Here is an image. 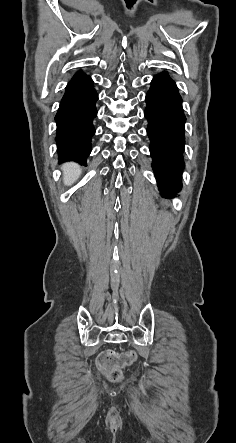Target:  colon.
Segmentation results:
<instances>
[{
    "label": "colon",
    "instance_id": "5ec220e1",
    "mask_svg": "<svg viewBox=\"0 0 236 443\" xmlns=\"http://www.w3.org/2000/svg\"><path fill=\"white\" fill-rule=\"evenodd\" d=\"M136 358L137 356L134 351H126L121 354L107 351L98 357L97 364L99 369L111 380L117 381L122 377L121 369L133 364Z\"/></svg>",
    "mask_w": 236,
    "mask_h": 443
}]
</instances>
